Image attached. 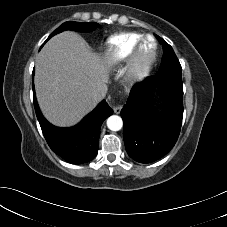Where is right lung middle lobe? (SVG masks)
<instances>
[{"label": "right lung middle lobe", "mask_w": 227, "mask_h": 227, "mask_svg": "<svg viewBox=\"0 0 227 227\" xmlns=\"http://www.w3.org/2000/svg\"><path fill=\"white\" fill-rule=\"evenodd\" d=\"M98 24L94 22H72L68 21L63 23L60 27H58L49 37V40L54 35L61 33L65 30H75L80 32H89L97 28ZM46 40V41H47Z\"/></svg>", "instance_id": "obj_1"}]
</instances>
